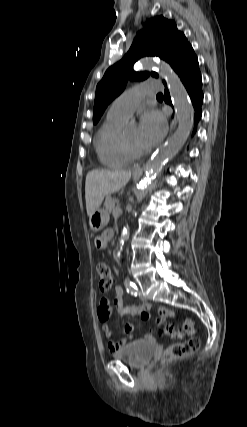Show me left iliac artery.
<instances>
[{
  "instance_id": "left-iliac-artery-1",
  "label": "left iliac artery",
  "mask_w": 247,
  "mask_h": 427,
  "mask_svg": "<svg viewBox=\"0 0 247 427\" xmlns=\"http://www.w3.org/2000/svg\"><path fill=\"white\" fill-rule=\"evenodd\" d=\"M124 284L128 293L137 296L138 288L134 282H132L129 278H126Z\"/></svg>"
}]
</instances>
